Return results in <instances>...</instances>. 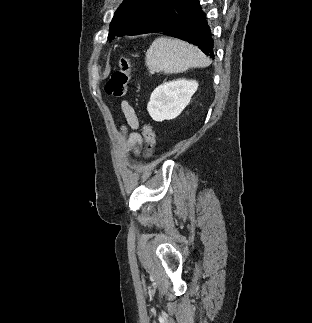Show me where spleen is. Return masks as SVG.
Masks as SVG:
<instances>
[{"label": "spleen", "mask_w": 312, "mask_h": 323, "mask_svg": "<svg viewBox=\"0 0 312 323\" xmlns=\"http://www.w3.org/2000/svg\"><path fill=\"white\" fill-rule=\"evenodd\" d=\"M145 56L148 70L164 74H180L189 68H206L211 64L197 46L177 38H156Z\"/></svg>", "instance_id": "obj_1"}]
</instances>
